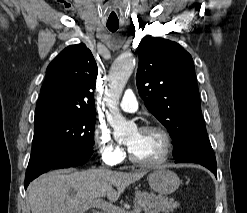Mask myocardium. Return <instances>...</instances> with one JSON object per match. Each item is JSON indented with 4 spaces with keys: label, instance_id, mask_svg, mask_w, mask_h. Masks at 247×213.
<instances>
[{
    "label": "myocardium",
    "instance_id": "1",
    "mask_svg": "<svg viewBox=\"0 0 247 213\" xmlns=\"http://www.w3.org/2000/svg\"><path fill=\"white\" fill-rule=\"evenodd\" d=\"M139 130L140 131H152V132L159 133L161 135L162 139H163V142H164V150H163V153H162L161 157L158 158L156 161L144 162V161H141V160L137 159L132 154L130 149L127 148L128 158H129L130 162L133 163L134 165H137V166H140V167H144V168L160 167L165 162H167V160L169 159V157H170V155L172 153L173 142H172V138H171L170 134L162 126L153 125V124L142 126Z\"/></svg>",
    "mask_w": 247,
    "mask_h": 213
}]
</instances>
